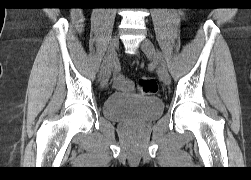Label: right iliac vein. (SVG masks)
<instances>
[{
    "label": "right iliac vein",
    "mask_w": 251,
    "mask_h": 180,
    "mask_svg": "<svg viewBox=\"0 0 251 180\" xmlns=\"http://www.w3.org/2000/svg\"><path fill=\"white\" fill-rule=\"evenodd\" d=\"M119 45V39L118 36H114L111 39L108 51H107V61H106V66L102 72V77H101V87L104 88L109 80V77L111 75L112 69L114 67L116 55H117V48Z\"/></svg>",
    "instance_id": "right-iliac-vein-1"
}]
</instances>
